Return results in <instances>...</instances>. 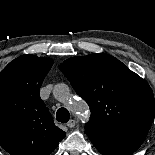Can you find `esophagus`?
Here are the masks:
<instances>
[{"label": "esophagus", "instance_id": "esophagus-1", "mask_svg": "<svg viewBox=\"0 0 155 155\" xmlns=\"http://www.w3.org/2000/svg\"><path fill=\"white\" fill-rule=\"evenodd\" d=\"M75 125H76V121H75L74 119H71V120H69V121L67 122V126H68L69 128H73V127H75Z\"/></svg>", "mask_w": 155, "mask_h": 155}]
</instances>
